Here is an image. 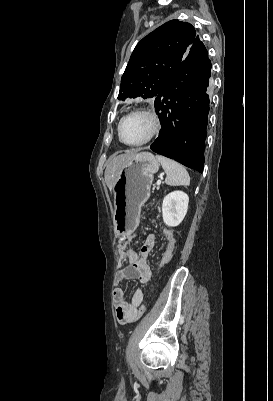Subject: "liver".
Listing matches in <instances>:
<instances>
[{
  "label": "liver",
  "instance_id": "liver-1",
  "mask_svg": "<svg viewBox=\"0 0 273 401\" xmlns=\"http://www.w3.org/2000/svg\"><path fill=\"white\" fill-rule=\"evenodd\" d=\"M140 156V152L133 148V150H126L125 154H112L110 156V160L105 168V182L109 188L112 190L118 176L119 170L123 168L124 164L130 162V160H135Z\"/></svg>",
  "mask_w": 273,
  "mask_h": 401
}]
</instances>
